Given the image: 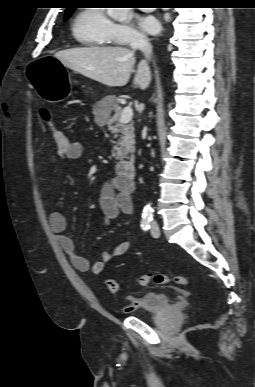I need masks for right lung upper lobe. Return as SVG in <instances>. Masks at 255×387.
Wrapping results in <instances>:
<instances>
[{"label":"right lung upper lobe","mask_w":255,"mask_h":387,"mask_svg":"<svg viewBox=\"0 0 255 387\" xmlns=\"http://www.w3.org/2000/svg\"><path fill=\"white\" fill-rule=\"evenodd\" d=\"M68 9H73V8L69 7V8H67V10H68ZM67 10H66V11H67Z\"/></svg>","instance_id":"right-lung-upper-lobe-1"}]
</instances>
